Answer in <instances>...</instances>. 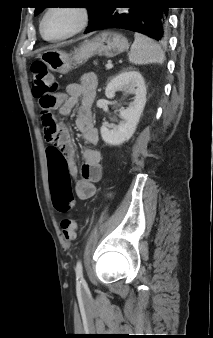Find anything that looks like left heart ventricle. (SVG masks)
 Wrapping results in <instances>:
<instances>
[{"instance_id":"left-heart-ventricle-1","label":"left heart ventricle","mask_w":213,"mask_h":338,"mask_svg":"<svg viewBox=\"0 0 213 338\" xmlns=\"http://www.w3.org/2000/svg\"><path fill=\"white\" fill-rule=\"evenodd\" d=\"M78 21L79 16L74 10L66 8L56 9L45 20L44 34L49 38L62 36L73 30Z\"/></svg>"}]
</instances>
